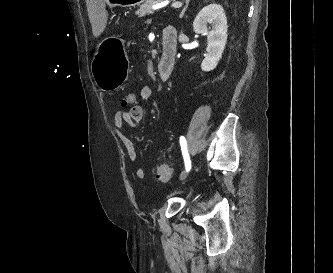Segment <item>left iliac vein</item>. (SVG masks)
I'll use <instances>...</instances> for the list:
<instances>
[{
    "instance_id": "4c4485c4",
    "label": "left iliac vein",
    "mask_w": 333,
    "mask_h": 273,
    "mask_svg": "<svg viewBox=\"0 0 333 273\" xmlns=\"http://www.w3.org/2000/svg\"><path fill=\"white\" fill-rule=\"evenodd\" d=\"M186 176H187L186 173L181 174L180 180H184L186 178Z\"/></svg>"
}]
</instances>
